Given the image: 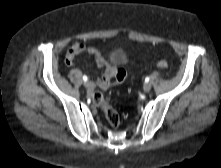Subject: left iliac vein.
Instances as JSON below:
<instances>
[{"label":"left iliac vein","instance_id":"left-iliac-vein-1","mask_svg":"<svg viewBox=\"0 0 221 168\" xmlns=\"http://www.w3.org/2000/svg\"><path fill=\"white\" fill-rule=\"evenodd\" d=\"M152 86L150 83H145L144 86H143V90L145 92H149L151 90Z\"/></svg>","mask_w":221,"mask_h":168}]
</instances>
